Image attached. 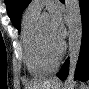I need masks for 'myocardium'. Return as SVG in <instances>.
Instances as JSON below:
<instances>
[{
    "label": "myocardium",
    "mask_w": 89,
    "mask_h": 89,
    "mask_svg": "<svg viewBox=\"0 0 89 89\" xmlns=\"http://www.w3.org/2000/svg\"><path fill=\"white\" fill-rule=\"evenodd\" d=\"M37 45H38V49H39L42 57L44 58V60L48 63L55 64L56 66L62 59V57L65 53V49H66L65 44L62 43L60 45L59 49L57 50V52L52 53L48 49V47L43 39L40 25L37 26Z\"/></svg>",
    "instance_id": "1"
}]
</instances>
